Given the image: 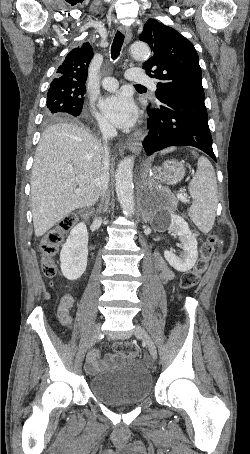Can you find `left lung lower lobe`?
Instances as JSON below:
<instances>
[{
	"label": "left lung lower lobe",
	"instance_id": "1",
	"mask_svg": "<svg viewBox=\"0 0 250 454\" xmlns=\"http://www.w3.org/2000/svg\"><path fill=\"white\" fill-rule=\"evenodd\" d=\"M148 109L147 155L169 146H194L216 161L204 98H166Z\"/></svg>",
	"mask_w": 250,
	"mask_h": 454
}]
</instances>
